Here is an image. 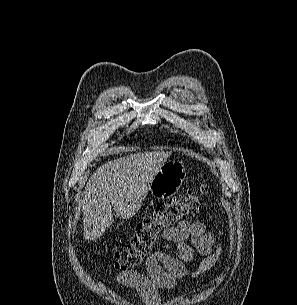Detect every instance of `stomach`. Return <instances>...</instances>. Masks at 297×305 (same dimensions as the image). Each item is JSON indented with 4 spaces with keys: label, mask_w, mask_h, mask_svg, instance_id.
<instances>
[{
    "label": "stomach",
    "mask_w": 297,
    "mask_h": 305,
    "mask_svg": "<svg viewBox=\"0 0 297 305\" xmlns=\"http://www.w3.org/2000/svg\"><path fill=\"white\" fill-rule=\"evenodd\" d=\"M186 177V167L182 161H166L154 176L148 190L159 200L170 199L181 188Z\"/></svg>",
    "instance_id": "stomach-1"
}]
</instances>
